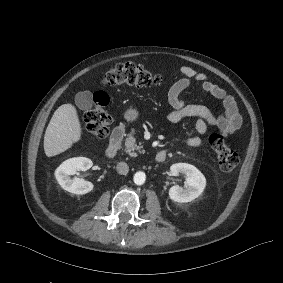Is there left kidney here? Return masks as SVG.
Listing matches in <instances>:
<instances>
[{"label": "left kidney", "instance_id": "obj_1", "mask_svg": "<svg viewBox=\"0 0 283 283\" xmlns=\"http://www.w3.org/2000/svg\"><path fill=\"white\" fill-rule=\"evenodd\" d=\"M172 175L183 174L185 187L179 185L169 189V197L178 203H187L198 198L206 187L204 175L195 166L187 163H176L170 167Z\"/></svg>", "mask_w": 283, "mask_h": 283}]
</instances>
